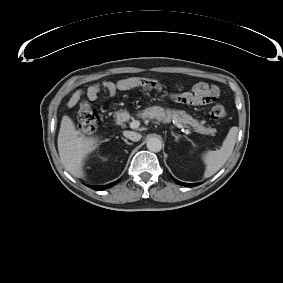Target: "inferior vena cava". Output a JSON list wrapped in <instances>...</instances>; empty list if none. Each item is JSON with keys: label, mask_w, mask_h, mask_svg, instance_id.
Segmentation results:
<instances>
[{"label": "inferior vena cava", "mask_w": 283, "mask_h": 283, "mask_svg": "<svg viewBox=\"0 0 283 283\" xmlns=\"http://www.w3.org/2000/svg\"><path fill=\"white\" fill-rule=\"evenodd\" d=\"M125 137H127L128 139L132 140V141H139L142 137V135L140 133L137 132H133V131H125L124 132Z\"/></svg>", "instance_id": "1"}]
</instances>
